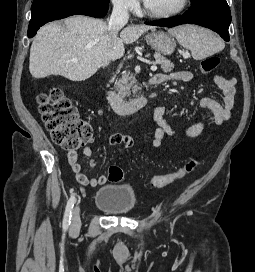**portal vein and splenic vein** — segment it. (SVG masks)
I'll list each match as a JSON object with an SVG mask.
<instances>
[{"label":"portal vein and splenic vein","instance_id":"18ae733b","mask_svg":"<svg viewBox=\"0 0 255 272\" xmlns=\"http://www.w3.org/2000/svg\"><path fill=\"white\" fill-rule=\"evenodd\" d=\"M152 71H156L157 70V66H156V64H153L152 66H151V68H150Z\"/></svg>","mask_w":255,"mask_h":272}]
</instances>
